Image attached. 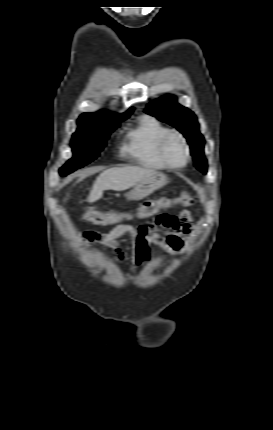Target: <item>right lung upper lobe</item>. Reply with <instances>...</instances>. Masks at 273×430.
Instances as JSON below:
<instances>
[{
	"instance_id": "cb5924a9",
	"label": "right lung upper lobe",
	"mask_w": 273,
	"mask_h": 430,
	"mask_svg": "<svg viewBox=\"0 0 273 430\" xmlns=\"http://www.w3.org/2000/svg\"><path fill=\"white\" fill-rule=\"evenodd\" d=\"M132 112V107L123 114L101 110L95 113H84L79 117V121L99 124H117L120 123L122 119L129 117Z\"/></svg>"
}]
</instances>
